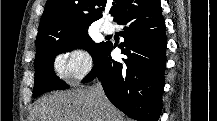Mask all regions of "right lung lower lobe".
Wrapping results in <instances>:
<instances>
[{"label":"right lung lower lobe","instance_id":"obj_1","mask_svg":"<svg viewBox=\"0 0 217 121\" xmlns=\"http://www.w3.org/2000/svg\"><path fill=\"white\" fill-rule=\"evenodd\" d=\"M125 25L119 45L122 61L112 59L116 45L106 42L90 74L98 77L108 99L123 113L138 121H157L162 109L166 51L165 20L160 0H136L115 21Z\"/></svg>","mask_w":217,"mask_h":121}]
</instances>
